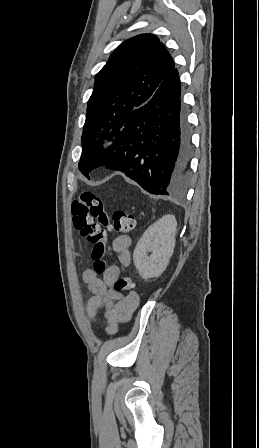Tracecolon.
<instances>
[{
  "label": "colon",
  "instance_id": "colon-1",
  "mask_svg": "<svg viewBox=\"0 0 259 448\" xmlns=\"http://www.w3.org/2000/svg\"><path fill=\"white\" fill-rule=\"evenodd\" d=\"M74 227L82 237L91 244L93 270L102 274L107 267L104 259L106 253L107 232L124 234L134 229L135 217L123 210L108 214L101 198L92 191H84L74 200L71 207ZM115 290L133 293V283L127 276L119 277L114 283Z\"/></svg>",
  "mask_w": 259,
  "mask_h": 448
}]
</instances>
